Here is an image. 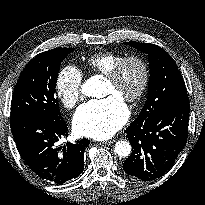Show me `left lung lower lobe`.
<instances>
[{"label": "left lung lower lobe", "mask_w": 205, "mask_h": 205, "mask_svg": "<svg viewBox=\"0 0 205 205\" xmlns=\"http://www.w3.org/2000/svg\"><path fill=\"white\" fill-rule=\"evenodd\" d=\"M189 110V101H180L145 122L131 124L125 133L133 151L123 170L144 181L165 174L187 141Z\"/></svg>", "instance_id": "1"}]
</instances>
